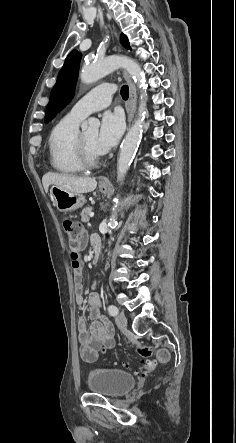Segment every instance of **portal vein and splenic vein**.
Wrapping results in <instances>:
<instances>
[{
  "mask_svg": "<svg viewBox=\"0 0 236 443\" xmlns=\"http://www.w3.org/2000/svg\"><path fill=\"white\" fill-rule=\"evenodd\" d=\"M89 216H90V217H93V216H94V213H93V212H91V213L89 214Z\"/></svg>",
  "mask_w": 236,
  "mask_h": 443,
  "instance_id": "1",
  "label": "portal vein and splenic vein"
}]
</instances>
